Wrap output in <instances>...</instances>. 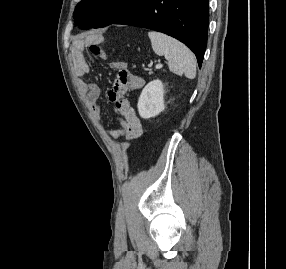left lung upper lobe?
I'll return each instance as SVG.
<instances>
[{
  "mask_svg": "<svg viewBox=\"0 0 286 269\" xmlns=\"http://www.w3.org/2000/svg\"><path fill=\"white\" fill-rule=\"evenodd\" d=\"M143 0H82L73 13L82 29L113 24L138 7Z\"/></svg>",
  "mask_w": 286,
  "mask_h": 269,
  "instance_id": "obj_1",
  "label": "left lung upper lobe"
}]
</instances>
